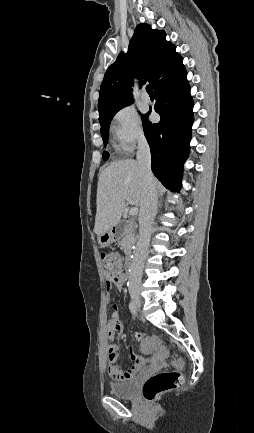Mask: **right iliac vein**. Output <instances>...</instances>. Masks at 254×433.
<instances>
[{"mask_svg": "<svg viewBox=\"0 0 254 433\" xmlns=\"http://www.w3.org/2000/svg\"><path fill=\"white\" fill-rule=\"evenodd\" d=\"M131 298L137 307H140L142 304V300L140 294L137 291L131 292Z\"/></svg>", "mask_w": 254, "mask_h": 433, "instance_id": "63e3f726", "label": "right iliac vein"}]
</instances>
